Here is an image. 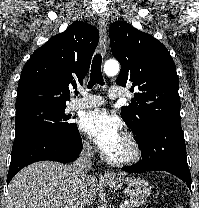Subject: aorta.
Here are the masks:
<instances>
[{
  "mask_svg": "<svg viewBox=\"0 0 199 208\" xmlns=\"http://www.w3.org/2000/svg\"><path fill=\"white\" fill-rule=\"evenodd\" d=\"M120 66L116 60H108L104 64V72L108 76H115L119 72Z\"/></svg>",
  "mask_w": 199,
  "mask_h": 208,
  "instance_id": "aorta-1",
  "label": "aorta"
}]
</instances>
